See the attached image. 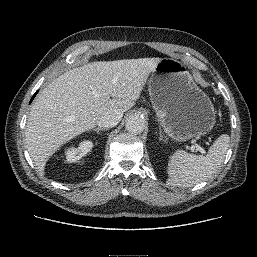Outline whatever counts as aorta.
Here are the masks:
<instances>
[{"instance_id":"obj_1","label":"aorta","mask_w":257,"mask_h":257,"mask_svg":"<svg viewBox=\"0 0 257 257\" xmlns=\"http://www.w3.org/2000/svg\"><path fill=\"white\" fill-rule=\"evenodd\" d=\"M125 127L128 132L133 134L142 133L145 127V120L139 114H132L127 117Z\"/></svg>"}]
</instances>
